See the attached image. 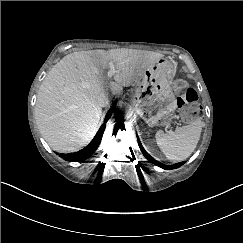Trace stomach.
<instances>
[{"label": "stomach", "mask_w": 243, "mask_h": 243, "mask_svg": "<svg viewBox=\"0 0 243 243\" xmlns=\"http://www.w3.org/2000/svg\"><path fill=\"white\" fill-rule=\"evenodd\" d=\"M174 67L160 58L136 76L132 102L141 118L150 126L171 123L177 99L170 86Z\"/></svg>", "instance_id": "obj_1"}]
</instances>
